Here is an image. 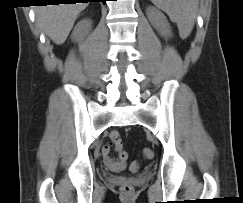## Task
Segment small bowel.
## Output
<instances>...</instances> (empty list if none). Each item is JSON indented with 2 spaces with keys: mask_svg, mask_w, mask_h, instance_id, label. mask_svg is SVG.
<instances>
[{
  "mask_svg": "<svg viewBox=\"0 0 243 203\" xmlns=\"http://www.w3.org/2000/svg\"><path fill=\"white\" fill-rule=\"evenodd\" d=\"M112 148L116 150L118 153L119 159H115L111 155ZM122 148V139L120 137V134L117 131H112L110 133V141L106 144H104L101 148V154L104 159L105 165L115 173L122 172L126 167L125 160L120 158V151ZM138 167V164L136 162L132 163L130 168L132 170H136Z\"/></svg>",
  "mask_w": 243,
  "mask_h": 203,
  "instance_id": "small-bowel-1",
  "label": "small bowel"
}]
</instances>
